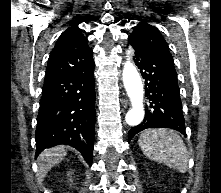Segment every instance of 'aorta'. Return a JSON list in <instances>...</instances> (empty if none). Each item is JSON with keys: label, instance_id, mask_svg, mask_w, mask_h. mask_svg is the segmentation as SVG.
Returning <instances> with one entry per match:
<instances>
[{"label": "aorta", "instance_id": "762f6f07", "mask_svg": "<svg viewBox=\"0 0 221 193\" xmlns=\"http://www.w3.org/2000/svg\"><path fill=\"white\" fill-rule=\"evenodd\" d=\"M130 53L131 51L129 50L122 74L123 83L132 105V108L126 114L125 120L128 125L136 126L140 124L144 118V90L140 75L131 62Z\"/></svg>", "mask_w": 221, "mask_h": 193}]
</instances>
